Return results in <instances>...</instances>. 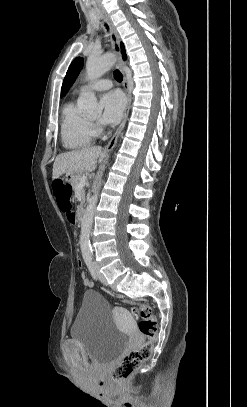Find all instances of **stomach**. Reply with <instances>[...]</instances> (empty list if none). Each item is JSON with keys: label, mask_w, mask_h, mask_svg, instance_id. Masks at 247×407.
<instances>
[{"label": "stomach", "mask_w": 247, "mask_h": 407, "mask_svg": "<svg viewBox=\"0 0 247 407\" xmlns=\"http://www.w3.org/2000/svg\"><path fill=\"white\" fill-rule=\"evenodd\" d=\"M75 176H76V174L67 173L65 180L68 182H72V180L74 179Z\"/></svg>", "instance_id": "stomach-1"}]
</instances>
